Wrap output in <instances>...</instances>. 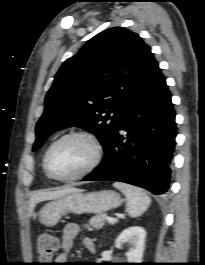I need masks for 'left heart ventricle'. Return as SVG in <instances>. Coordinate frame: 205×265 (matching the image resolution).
Segmentation results:
<instances>
[{
    "mask_svg": "<svg viewBox=\"0 0 205 265\" xmlns=\"http://www.w3.org/2000/svg\"><path fill=\"white\" fill-rule=\"evenodd\" d=\"M93 157L91 143L80 137L68 138L51 152L49 167L59 176H71L88 165Z\"/></svg>",
    "mask_w": 205,
    "mask_h": 265,
    "instance_id": "1",
    "label": "left heart ventricle"
}]
</instances>
